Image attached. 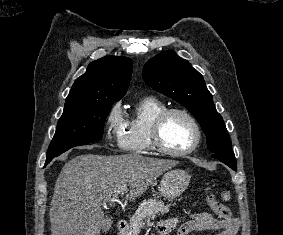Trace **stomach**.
<instances>
[{
	"label": "stomach",
	"mask_w": 283,
	"mask_h": 235,
	"mask_svg": "<svg viewBox=\"0 0 283 235\" xmlns=\"http://www.w3.org/2000/svg\"><path fill=\"white\" fill-rule=\"evenodd\" d=\"M190 183V175L181 169H173L164 173L160 180L159 191L160 193L173 200L179 197L188 187ZM123 235H128L129 228L122 231Z\"/></svg>",
	"instance_id": "0dacf381"
}]
</instances>
